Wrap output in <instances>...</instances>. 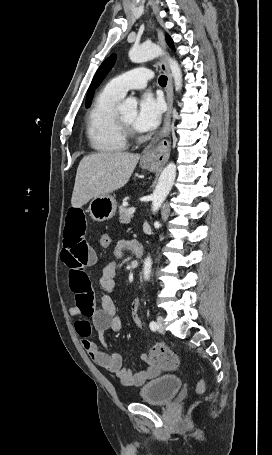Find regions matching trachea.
Segmentation results:
<instances>
[{
    "label": "trachea",
    "instance_id": "3493384b",
    "mask_svg": "<svg viewBox=\"0 0 272 455\" xmlns=\"http://www.w3.org/2000/svg\"><path fill=\"white\" fill-rule=\"evenodd\" d=\"M166 84H167V77L164 76V75L160 76L159 77V85L164 87V86H166Z\"/></svg>",
    "mask_w": 272,
    "mask_h": 455
}]
</instances>
